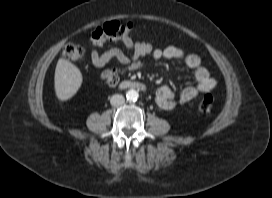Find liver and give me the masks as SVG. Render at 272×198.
<instances>
[{"label":"liver","instance_id":"liver-1","mask_svg":"<svg viewBox=\"0 0 272 198\" xmlns=\"http://www.w3.org/2000/svg\"><path fill=\"white\" fill-rule=\"evenodd\" d=\"M80 70L65 59H59L55 69L54 87L59 100L66 101L72 98L82 84Z\"/></svg>","mask_w":272,"mask_h":198}]
</instances>
